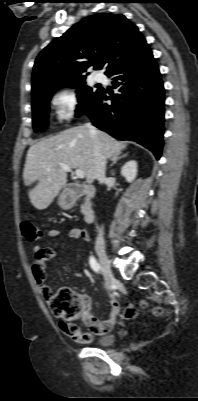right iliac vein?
Instances as JSON below:
<instances>
[{"instance_id":"obj_1","label":"right iliac vein","mask_w":198,"mask_h":401,"mask_svg":"<svg viewBox=\"0 0 198 401\" xmlns=\"http://www.w3.org/2000/svg\"><path fill=\"white\" fill-rule=\"evenodd\" d=\"M97 254L99 257V262L101 265V269L105 278V284L108 289L111 288L114 280V275L110 267V262L105 250L102 247L97 249Z\"/></svg>"}]
</instances>
